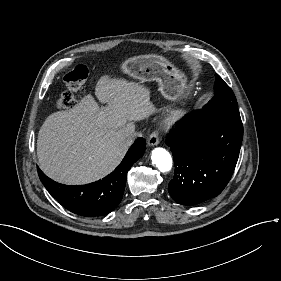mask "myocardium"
Here are the masks:
<instances>
[{"instance_id": "1", "label": "myocardium", "mask_w": 281, "mask_h": 281, "mask_svg": "<svg viewBox=\"0 0 281 281\" xmlns=\"http://www.w3.org/2000/svg\"><path fill=\"white\" fill-rule=\"evenodd\" d=\"M182 117V113L180 111H175L173 114L167 119L168 125H173L177 123Z\"/></svg>"}]
</instances>
